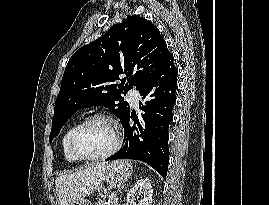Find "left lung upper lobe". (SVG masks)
<instances>
[{"instance_id": "1", "label": "left lung upper lobe", "mask_w": 269, "mask_h": 205, "mask_svg": "<svg viewBox=\"0 0 269 205\" xmlns=\"http://www.w3.org/2000/svg\"><path fill=\"white\" fill-rule=\"evenodd\" d=\"M170 54L159 30L148 20L128 16L70 58L57 96L49 140L82 108L100 105L123 121L130 110L121 94L140 90ZM120 75L121 84H116Z\"/></svg>"}]
</instances>
